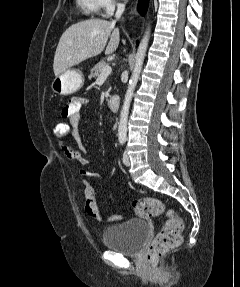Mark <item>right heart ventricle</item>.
Listing matches in <instances>:
<instances>
[{
    "mask_svg": "<svg viewBox=\"0 0 240 287\" xmlns=\"http://www.w3.org/2000/svg\"><path fill=\"white\" fill-rule=\"evenodd\" d=\"M76 3L86 16H96L101 9L99 0H76Z\"/></svg>",
    "mask_w": 240,
    "mask_h": 287,
    "instance_id": "1",
    "label": "right heart ventricle"
}]
</instances>
